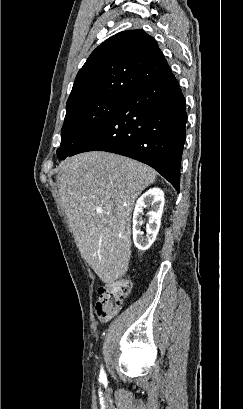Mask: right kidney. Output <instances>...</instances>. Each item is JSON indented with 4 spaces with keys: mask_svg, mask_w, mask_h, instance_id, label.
Wrapping results in <instances>:
<instances>
[{
    "mask_svg": "<svg viewBox=\"0 0 243 409\" xmlns=\"http://www.w3.org/2000/svg\"><path fill=\"white\" fill-rule=\"evenodd\" d=\"M164 207V193L159 188L146 191L137 200L133 213V241L134 245L141 251L147 250L155 241L158 234L161 216ZM150 209L148 215V228L146 236H143L141 226L143 225V210Z\"/></svg>",
    "mask_w": 243,
    "mask_h": 409,
    "instance_id": "right-kidney-1",
    "label": "right kidney"
}]
</instances>
